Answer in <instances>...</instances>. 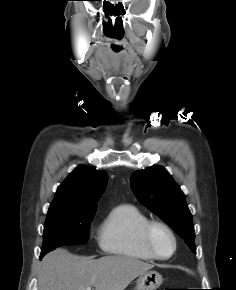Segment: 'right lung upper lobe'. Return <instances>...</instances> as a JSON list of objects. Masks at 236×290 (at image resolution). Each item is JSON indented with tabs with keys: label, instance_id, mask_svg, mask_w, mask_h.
I'll use <instances>...</instances> for the list:
<instances>
[{
	"label": "right lung upper lobe",
	"instance_id": "cb5924a9",
	"mask_svg": "<svg viewBox=\"0 0 236 290\" xmlns=\"http://www.w3.org/2000/svg\"><path fill=\"white\" fill-rule=\"evenodd\" d=\"M107 179L106 171L78 166L58 187L48 214L95 212L96 202L105 190Z\"/></svg>",
	"mask_w": 236,
	"mask_h": 290
}]
</instances>
